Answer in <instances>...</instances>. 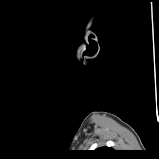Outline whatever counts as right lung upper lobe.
<instances>
[{"label":"right lung upper lobe","instance_id":"right-lung-upper-lobe-1","mask_svg":"<svg viewBox=\"0 0 159 159\" xmlns=\"http://www.w3.org/2000/svg\"><path fill=\"white\" fill-rule=\"evenodd\" d=\"M107 149H109V148H107V147H103V148H99V149H97V151H106Z\"/></svg>","mask_w":159,"mask_h":159}]
</instances>
